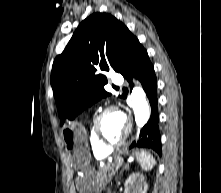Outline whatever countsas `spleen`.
<instances>
[{
    "mask_svg": "<svg viewBox=\"0 0 221 193\" xmlns=\"http://www.w3.org/2000/svg\"><path fill=\"white\" fill-rule=\"evenodd\" d=\"M135 157L138 160V162L140 163L142 169L145 171L151 170L154 167V165L156 164V161L153 158V156L145 150L136 151Z\"/></svg>",
    "mask_w": 221,
    "mask_h": 193,
    "instance_id": "spleen-1",
    "label": "spleen"
}]
</instances>
